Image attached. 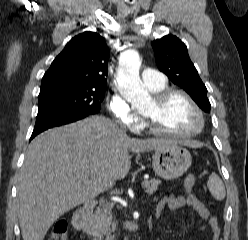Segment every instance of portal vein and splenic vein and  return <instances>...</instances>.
I'll list each match as a JSON object with an SVG mask.
<instances>
[{
	"label": "portal vein and splenic vein",
	"instance_id": "obj_1",
	"mask_svg": "<svg viewBox=\"0 0 248 240\" xmlns=\"http://www.w3.org/2000/svg\"><path fill=\"white\" fill-rule=\"evenodd\" d=\"M144 184H145V181L142 183V185L144 186Z\"/></svg>",
	"mask_w": 248,
	"mask_h": 240
}]
</instances>
